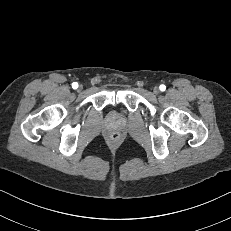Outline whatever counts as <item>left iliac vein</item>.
Listing matches in <instances>:
<instances>
[{"label": "left iliac vein", "mask_w": 231, "mask_h": 231, "mask_svg": "<svg viewBox=\"0 0 231 231\" xmlns=\"http://www.w3.org/2000/svg\"><path fill=\"white\" fill-rule=\"evenodd\" d=\"M154 94H158L160 92L159 88L156 86L153 89Z\"/></svg>", "instance_id": "obj_1"}]
</instances>
